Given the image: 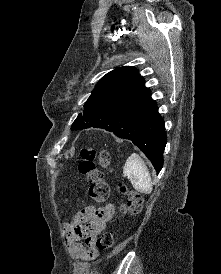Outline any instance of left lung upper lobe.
I'll return each instance as SVG.
<instances>
[{"label": "left lung upper lobe", "instance_id": "1", "mask_svg": "<svg viewBox=\"0 0 221 274\" xmlns=\"http://www.w3.org/2000/svg\"><path fill=\"white\" fill-rule=\"evenodd\" d=\"M144 79L134 67L123 66L102 77L85 103L83 114H79L71 129H84L97 122L93 110L116 101L132 100L145 91Z\"/></svg>", "mask_w": 221, "mask_h": 274}]
</instances>
